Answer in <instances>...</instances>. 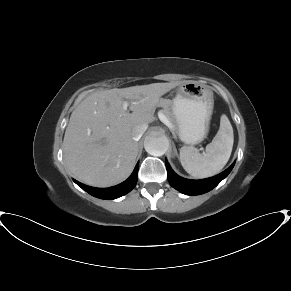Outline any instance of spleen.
Masks as SVG:
<instances>
[{
	"instance_id": "obj_1",
	"label": "spleen",
	"mask_w": 291,
	"mask_h": 291,
	"mask_svg": "<svg viewBox=\"0 0 291 291\" xmlns=\"http://www.w3.org/2000/svg\"><path fill=\"white\" fill-rule=\"evenodd\" d=\"M234 142L233 128L228 117L223 114L220 127L206 152L200 154L192 146L180 149V161L187 173L195 178H207L218 174L227 164Z\"/></svg>"
}]
</instances>
